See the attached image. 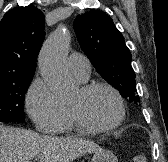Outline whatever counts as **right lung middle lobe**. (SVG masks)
I'll return each instance as SVG.
<instances>
[{
  "mask_svg": "<svg viewBox=\"0 0 168 162\" xmlns=\"http://www.w3.org/2000/svg\"><path fill=\"white\" fill-rule=\"evenodd\" d=\"M34 73L0 81V122H23L24 95Z\"/></svg>",
  "mask_w": 168,
  "mask_h": 162,
  "instance_id": "dd1d6c3e",
  "label": "right lung middle lobe"
}]
</instances>
